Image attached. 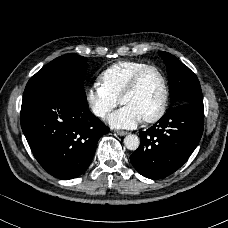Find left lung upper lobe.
<instances>
[{"mask_svg":"<svg viewBox=\"0 0 228 228\" xmlns=\"http://www.w3.org/2000/svg\"><path fill=\"white\" fill-rule=\"evenodd\" d=\"M168 72L170 98L176 105L203 103V96L197 76L174 55L159 52ZM171 108V107H170Z\"/></svg>","mask_w":228,"mask_h":228,"instance_id":"obj_1","label":"left lung upper lobe"}]
</instances>
